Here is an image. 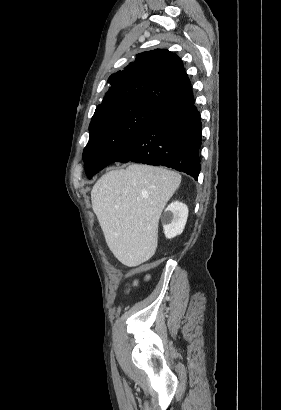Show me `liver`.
<instances>
[{
	"label": "liver",
	"mask_w": 281,
	"mask_h": 410,
	"mask_svg": "<svg viewBox=\"0 0 281 410\" xmlns=\"http://www.w3.org/2000/svg\"><path fill=\"white\" fill-rule=\"evenodd\" d=\"M177 172L142 164L112 170L91 191L92 209L114 256L128 267L149 260L158 244V223L178 189Z\"/></svg>",
	"instance_id": "obj_1"
}]
</instances>
